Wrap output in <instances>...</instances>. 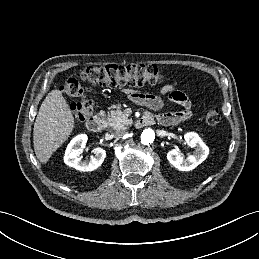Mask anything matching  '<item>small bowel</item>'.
I'll list each match as a JSON object with an SVG mask.
<instances>
[{
    "mask_svg": "<svg viewBox=\"0 0 259 259\" xmlns=\"http://www.w3.org/2000/svg\"><path fill=\"white\" fill-rule=\"evenodd\" d=\"M126 93L129 99L134 103L149 107L152 110H160L163 106L162 100L157 96L132 90H127ZM161 93L168 94L170 101L180 105L183 110L179 112H170L157 115V120L159 123L163 125H171L179 123L190 117L191 102L183 92L177 90L173 85L167 84L161 88Z\"/></svg>",
    "mask_w": 259,
    "mask_h": 259,
    "instance_id": "obj_1",
    "label": "small bowel"
}]
</instances>
